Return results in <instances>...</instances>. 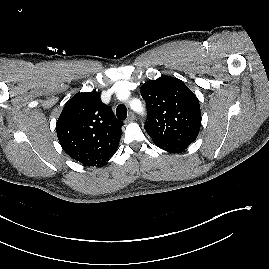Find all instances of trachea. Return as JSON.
I'll use <instances>...</instances> for the list:
<instances>
[{
  "instance_id": "obj_1",
  "label": "trachea",
  "mask_w": 269,
  "mask_h": 269,
  "mask_svg": "<svg viewBox=\"0 0 269 269\" xmlns=\"http://www.w3.org/2000/svg\"><path fill=\"white\" fill-rule=\"evenodd\" d=\"M116 116L120 120H125L127 118V109L123 104L117 106Z\"/></svg>"
}]
</instances>
